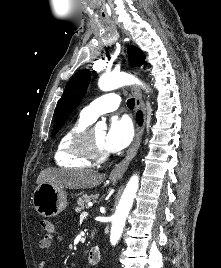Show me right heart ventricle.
Returning <instances> with one entry per match:
<instances>
[{
	"label": "right heart ventricle",
	"mask_w": 221,
	"mask_h": 268,
	"mask_svg": "<svg viewBox=\"0 0 221 268\" xmlns=\"http://www.w3.org/2000/svg\"><path fill=\"white\" fill-rule=\"evenodd\" d=\"M91 123L90 120L80 115L60 136L55 148V161L57 165L77 169L88 168L92 165V162L80 156L76 151L78 137Z\"/></svg>",
	"instance_id": "1"
}]
</instances>
